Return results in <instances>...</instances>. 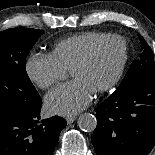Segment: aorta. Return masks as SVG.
I'll list each match as a JSON object with an SVG mask.
<instances>
[{"label":"aorta","instance_id":"1","mask_svg":"<svg viewBox=\"0 0 155 155\" xmlns=\"http://www.w3.org/2000/svg\"><path fill=\"white\" fill-rule=\"evenodd\" d=\"M78 126L85 132H93L97 126V119L93 114L84 113L78 118Z\"/></svg>","mask_w":155,"mask_h":155}]
</instances>
